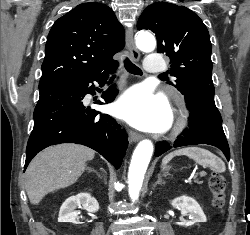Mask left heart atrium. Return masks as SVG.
Wrapping results in <instances>:
<instances>
[{
	"label": "left heart atrium",
	"mask_w": 250,
	"mask_h": 235,
	"mask_svg": "<svg viewBox=\"0 0 250 235\" xmlns=\"http://www.w3.org/2000/svg\"><path fill=\"white\" fill-rule=\"evenodd\" d=\"M116 113L133 126L149 132L166 130L172 117L166 99L144 87L128 90L118 102Z\"/></svg>",
	"instance_id": "1"
}]
</instances>
